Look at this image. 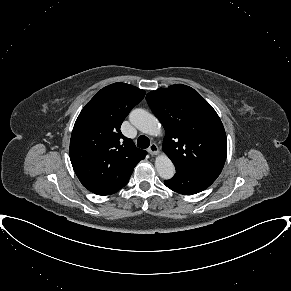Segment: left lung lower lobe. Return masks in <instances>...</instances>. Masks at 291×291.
I'll return each mask as SVG.
<instances>
[{"mask_svg": "<svg viewBox=\"0 0 291 291\" xmlns=\"http://www.w3.org/2000/svg\"><path fill=\"white\" fill-rule=\"evenodd\" d=\"M218 177L217 174L176 168L175 176L165 180L171 190L184 195H193L208 188Z\"/></svg>", "mask_w": 291, "mask_h": 291, "instance_id": "obj_1", "label": "left lung lower lobe"}]
</instances>
